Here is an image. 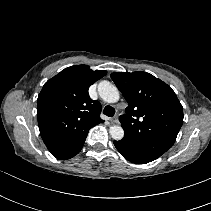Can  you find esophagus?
<instances>
[{
    "label": "esophagus",
    "mask_w": 211,
    "mask_h": 211,
    "mask_svg": "<svg viewBox=\"0 0 211 211\" xmlns=\"http://www.w3.org/2000/svg\"><path fill=\"white\" fill-rule=\"evenodd\" d=\"M110 121H111L112 123H116V124L119 123V120H118V117H117V116L111 118Z\"/></svg>",
    "instance_id": "1"
}]
</instances>
